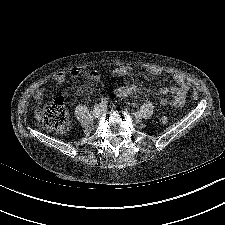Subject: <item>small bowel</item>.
I'll list each match as a JSON object with an SVG mask.
<instances>
[{
  "label": "small bowel",
  "instance_id": "small-bowel-1",
  "mask_svg": "<svg viewBox=\"0 0 225 225\" xmlns=\"http://www.w3.org/2000/svg\"><path fill=\"white\" fill-rule=\"evenodd\" d=\"M113 75L116 77H124L129 76L132 73V70L128 66H119L116 67L113 70ZM152 73L159 74L161 73L160 70L154 69L152 70ZM70 75L72 77H80L83 76L86 79L90 81H96L99 79V73L96 70H84L82 68L73 67L69 69L68 71L65 70H59L55 72L52 77L51 81L57 84H61L65 82L67 76ZM175 82L177 83V86H170V87H162L160 89V93L162 95H166L168 93L174 95V99L169 102L166 99H162V104H171L175 107H182L185 104L186 101V95L188 93V87L184 81V79L181 76L175 77ZM137 91V86L134 84H128L124 86H120L115 89V94L118 97L125 98ZM35 99L38 102H42L44 99V88L42 86H39L34 93Z\"/></svg>",
  "mask_w": 225,
  "mask_h": 225
}]
</instances>
